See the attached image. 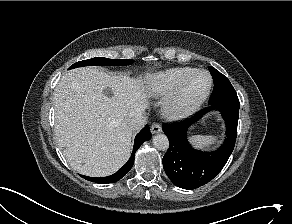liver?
<instances>
[{"mask_svg":"<svg viewBox=\"0 0 292 224\" xmlns=\"http://www.w3.org/2000/svg\"><path fill=\"white\" fill-rule=\"evenodd\" d=\"M144 83L141 77L111 76L97 67L77 68L61 77L53 98L55 135L74 170L104 177L126 163L135 131L128 125L129 115L148 105ZM107 88L111 97L104 94Z\"/></svg>","mask_w":292,"mask_h":224,"instance_id":"liver-1","label":"liver"}]
</instances>
